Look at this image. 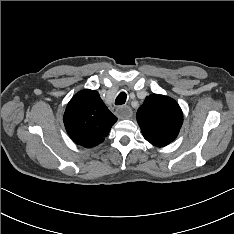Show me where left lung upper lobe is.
Instances as JSON below:
<instances>
[{"mask_svg":"<svg viewBox=\"0 0 234 234\" xmlns=\"http://www.w3.org/2000/svg\"><path fill=\"white\" fill-rule=\"evenodd\" d=\"M143 137L155 146L171 143L179 134L183 113L178 103L165 95L146 97L137 111Z\"/></svg>","mask_w":234,"mask_h":234,"instance_id":"obj_1","label":"left lung upper lobe"}]
</instances>
